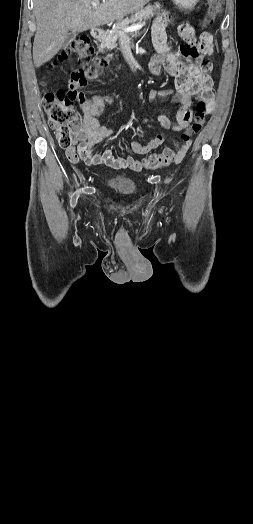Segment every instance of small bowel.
<instances>
[{
	"instance_id": "c3829d8e",
	"label": "small bowel",
	"mask_w": 253,
	"mask_h": 524,
	"mask_svg": "<svg viewBox=\"0 0 253 524\" xmlns=\"http://www.w3.org/2000/svg\"><path fill=\"white\" fill-rule=\"evenodd\" d=\"M178 37L181 43V54L186 62L179 60L177 56L170 51L167 43L166 23L158 20L153 26V45L156 54L152 56L148 63L147 74L150 77H163L165 70L176 78V90H151L148 93V99L172 97L177 101L181 109L177 113L176 123H172L168 116L160 115L157 121L164 128H171L176 131H182L187 128L192 119L189 111L191 99L198 96L201 101H210L213 97V80L211 77V62L206 52H212L215 49L212 44V31L205 27L201 31V41L196 30L192 29L187 23L179 25ZM113 98L109 96H95L90 101H85L81 106L83 112V126L76 133L78 144L65 153L71 163L84 162L86 165H108L117 170L130 169L140 171L142 162L135 160L131 156L116 157L110 148L105 149L102 154H96L93 145L104 141L112 136L113 132L106 126L97 122L105 108L106 103H113ZM145 120L144 123H148ZM164 142L162 134L145 142H133L131 148L134 153L145 155L152 150L160 147Z\"/></svg>"
}]
</instances>
